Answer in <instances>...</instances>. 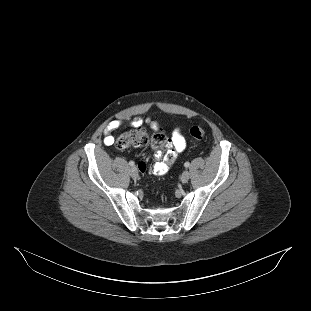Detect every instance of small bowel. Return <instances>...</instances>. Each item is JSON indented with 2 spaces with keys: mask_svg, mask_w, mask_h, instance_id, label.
Here are the masks:
<instances>
[{
  "mask_svg": "<svg viewBox=\"0 0 311 311\" xmlns=\"http://www.w3.org/2000/svg\"><path fill=\"white\" fill-rule=\"evenodd\" d=\"M146 122L150 126L151 129H153V130L157 129V123L156 122H154L150 119H148ZM141 124H142V120L140 118H135L131 122V125L133 127L140 126ZM122 128H123V123L121 120L116 119V120L111 121L106 126V128L104 130V143H105V145H108V146L112 145L114 143V137H113L112 133L114 131L120 130ZM185 146H186L185 138L181 134L180 129L175 128L173 130L172 137L168 142L167 151L164 154V156L162 155L161 151L157 150L155 152V157L157 159L163 157L164 163L167 166L169 164H172L176 160L178 154L181 153L185 149ZM153 147L158 149L156 146H153ZM152 172L156 174L154 166L152 168Z\"/></svg>",
  "mask_w": 311,
  "mask_h": 311,
  "instance_id": "c3829d8e",
  "label": "small bowel"
}]
</instances>
